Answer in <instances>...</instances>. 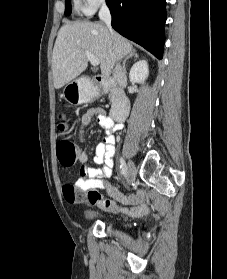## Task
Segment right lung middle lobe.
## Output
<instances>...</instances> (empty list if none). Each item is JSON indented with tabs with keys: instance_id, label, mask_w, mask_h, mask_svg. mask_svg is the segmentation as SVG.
I'll use <instances>...</instances> for the list:
<instances>
[{
	"instance_id": "dd1d6c3e",
	"label": "right lung middle lobe",
	"mask_w": 227,
	"mask_h": 279,
	"mask_svg": "<svg viewBox=\"0 0 227 279\" xmlns=\"http://www.w3.org/2000/svg\"><path fill=\"white\" fill-rule=\"evenodd\" d=\"M71 14V2L70 0H65V15L69 16Z\"/></svg>"
}]
</instances>
